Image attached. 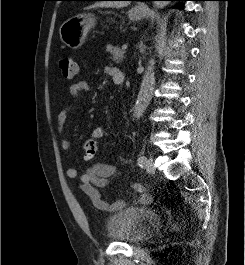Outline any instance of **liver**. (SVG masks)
<instances>
[{"label": "liver", "mask_w": 245, "mask_h": 265, "mask_svg": "<svg viewBox=\"0 0 245 265\" xmlns=\"http://www.w3.org/2000/svg\"><path fill=\"white\" fill-rule=\"evenodd\" d=\"M128 3L124 1H104L100 3H95L94 5L90 6L89 8H94V7H116V8H121L127 6Z\"/></svg>", "instance_id": "6515ba94"}]
</instances>
